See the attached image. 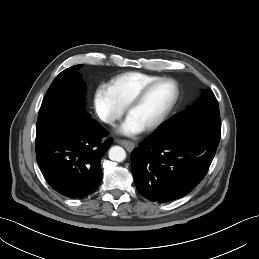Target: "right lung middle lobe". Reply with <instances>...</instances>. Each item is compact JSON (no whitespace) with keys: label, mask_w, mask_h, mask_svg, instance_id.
<instances>
[{"label":"right lung middle lobe","mask_w":259,"mask_h":259,"mask_svg":"<svg viewBox=\"0 0 259 259\" xmlns=\"http://www.w3.org/2000/svg\"><path fill=\"white\" fill-rule=\"evenodd\" d=\"M81 67L65 69L50 85L38 114L36 138L57 124L76 126L91 119L83 109L86 85L78 73Z\"/></svg>","instance_id":"obj_1"}]
</instances>
